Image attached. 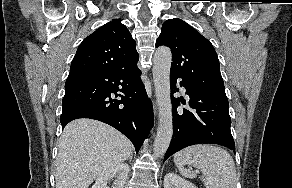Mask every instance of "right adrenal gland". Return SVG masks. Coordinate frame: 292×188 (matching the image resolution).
Segmentation results:
<instances>
[{"label": "right adrenal gland", "mask_w": 292, "mask_h": 188, "mask_svg": "<svg viewBox=\"0 0 292 188\" xmlns=\"http://www.w3.org/2000/svg\"><path fill=\"white\" fill-rule=\"evenodd\" d=\"M132 157H133V154H131L130 157H129V162H130V163H131V161H132Z\"/></svg>", "instance_id": "1"}]
</instances>
